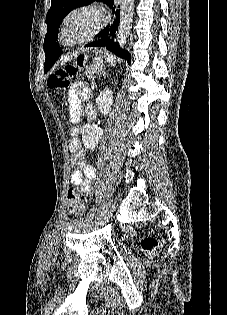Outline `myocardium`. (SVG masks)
Instances as JSON below:
<instances>
[{"label":"myocardium","instance_id":"obj_1","mask_svg":"<svg viewBox=\"0 0 227 315\" xmlns=\"http://www.w3.org/2000/svg\"><path fill=\"white\" fill-rule=\"evenodd\" d=\"M77 14L92 15L95 18V24L86 33H83L76 38L69 39L67 37L68 24L71 18ZM106 20L107 19L104 12L97 5L81 4V5L74 6L73 8L68 10L65 13V15L62 17L58 26L56 42L59 46L64 47V48H70V47H74V46H78L83 43H86L100 33V31L104 28L106 24Z\"/></svg>","mask_w":227,"mask_h":315}]
</instances>
